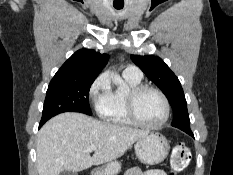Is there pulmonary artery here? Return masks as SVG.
<instances>
[{"label":"pulmonary artery","mask_w":233,"mask_h":175,"mask_svg":"<svg viewBox=\"0 0 233 175\" xmlns=\"http://www.w3.org/2000/svg\"><path fill=\"white\" fill-rule=\"evenodd\" d=\"M123 74L134 77V78H138V79L142 78V72L135 65H128L123 71Z\"/></svg>","instance_id":"obj_1"}]
</instances>
